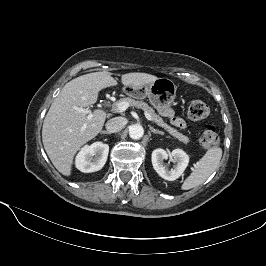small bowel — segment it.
Returning a JSON list of instances; mask_svg holds the SVG:
<instances>
[{"mask_svg":"<svg viewBox=\"0 0 266 266\" xmlns=\"http://www.w3.org/2000/svg\"><path fill=\"white\" fill-rule=\"evenodd\" d=\"M163 114H164L165 116L169 117L170 120H171V122H172L175 126H177V127H179V128H185V126H186V125H185V122H184L181 118L175 116L172 110H170V109H164V110H163Z\"/></svg>","mask_w":266,"mask_h":266,"instance_id":"obj_1","label":"small bowel"}]
</instances>
